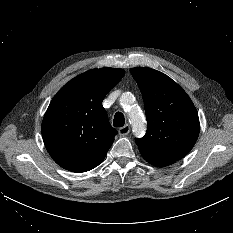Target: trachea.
Instances as JSON below:
<instances>
[{"label":"trachea","mask_w":233,"mask_h":233,"mask_svg":"<svg viewBox=\"0 0 233 233\" xmlns=\"http://www.w3.org/2000/svg\"><path fill=\"white\" fill-rule=\"evenodd\" d=\"M125 118L121 112H116L113 119V126L114 127H122L124 126Z\"/></svg>","instance_id":"obj_1"}]
</instances>
